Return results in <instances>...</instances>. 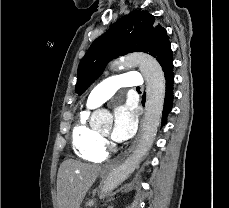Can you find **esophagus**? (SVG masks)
Masks as SVG:
<instances>
[{"mask_svg":"<svg viewBox=\"0 0 229 208\" xmlns=\"http://www.w3.org/2000/svg\"><path fill=\"white\" fill-rule=\"evenodd\" d=\"M142 128H143V124H142V121L140 122V126H139V130H138V134H137V137L135 139V141L132 143V145L128 148L127 152L123 155V158H125L129 153H131V151L134 149L137 141L139 140L141 134H142ZM122 159L119 158L117 159L116 161H114L113 163H109L106 167H103L102 170H107V171H110L112 168H114L118 163L119 161Z\"/></svg>","mask_w":229,"mask_h":208,"instance_id":"1","label":"esophagus"}]
</instances>
